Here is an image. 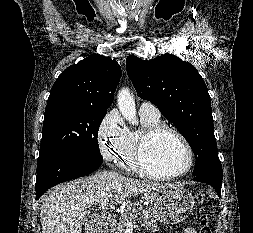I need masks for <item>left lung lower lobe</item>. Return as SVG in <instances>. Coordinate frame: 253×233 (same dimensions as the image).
Returning <instances> with one entry per match:
<instances>
[{"instance_id": "0a47b994", "label": "left lung lower lobe", "mask_w": 253, "mask_h": 233, "mask_svg": "<svg viewBox=\"0 0 253 233\" xmlns=\"http://www.w3.org/2000/svg\"><path fill=\"white\" fill-rule=\"evenodd\" d=\"M193 180L207 183L213 186V188L217 191V194L219 196L221 195L222 177L215 176L212 174H200V175L194 176Z\"/></svg>"}]
</instances>
